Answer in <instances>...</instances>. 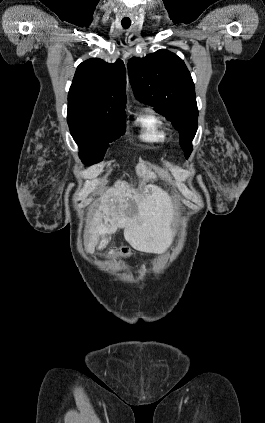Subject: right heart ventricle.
<instances>
[{"label":"right heart ventricle","mask_w":265,"mask_h":423,"mask_svg":"<svg viewBox=\"0 0 265 423\" xmlns=\"http://www.w3.org/2000/svg\"><path fill=\"white\" fill-rule=\"evenodd\" d=\"M135 124L140 129V137L147 142H163L166 137L164 122L151 109L141 110L136 119Z\"/></svg>","instance_id":"e07e8e85"}]
</instances>
